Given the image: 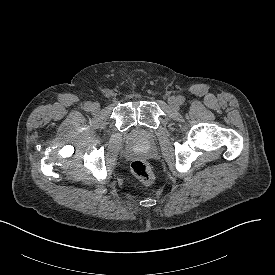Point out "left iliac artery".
<instances>
[{"label":"left iliac artery","mask_w":275,"mask_h":275,"mask_svg":"<svg viewBox=\"0 0 275 275\" xmlns=\"http://www.w3.org/2000/svg\"><path fill=\"white\" fill-rule=\"evenodd\" d=\"M178 101L180 104H183L185 102V97L184 96H178Z\"/></svg>","instance_id":"left-iliac-artery-1"}]
</instances>
